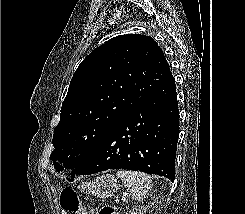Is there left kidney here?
Returning a JSON list of instances; mask_svg holds the SVG:
<instances>
[{"instance_id":"5707ae66","label":"left kidney","mask_w":245,"mask_h":214,"mask_svg":"<svg viewBox=\"0 0 245 214\" xmlns=\"http://www.w3.org/2000/svg\"><path fill=\"white\" fill-rule=\"evenodd\" d=\"M126 214H127V213H126ZM129 214H142V213L140 212V210L138 211V210L136 209V211H134V209H133L132 211H130Z\"/></svg>"}]
</instances>
